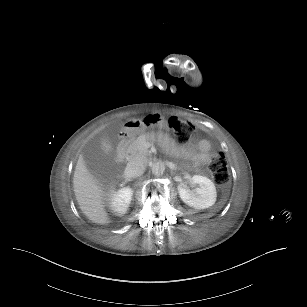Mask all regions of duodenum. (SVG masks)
<instances>
[{
  "mask_svg": "<svg viewBox=\"0 0 307 307\" xmlns=\"http://www.w3.org/2000/svg\"><path fill=\"white\" fill-rule=\"evenodd\" d=\"M122 135H121V145L119 148V153L117 154V160H122L123 156L127 153L128 148L127 144L130 143L132 140V127L129 124L124 125L122 128Z\"/></svg>",
  "mask_w": 307,
  "mask_h": 307,
  "instance_id": "1",
  "label": "duodenum"
}]
</instances>
